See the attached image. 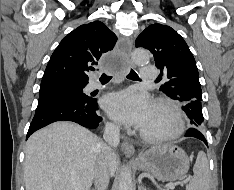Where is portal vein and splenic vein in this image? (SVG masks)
<instances>
[{"label":"portal vein and splenic vein","mask_w":234,"mask_h":190,"mask_svg":"<svg viewBox=\"0 0 234 190\" xmlns=\"http://www.w3.org/2000/svg\"><path fill=\"white\" fill-rule=\"evenodd\" d=\"M176 185L177 183H170V184H166L165 187L168 189H174Z\"/></svg>","instance_id":"1"}]
</instances>
